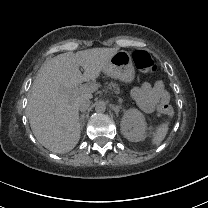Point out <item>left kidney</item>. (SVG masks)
I'll list each match as a JSON object with an SVG mask.
<instances>
[{
    "mask_svg": "<svg viewBox=\"0 0 208 208\" xmlns=\"http://www.w3.org/2000/svg\"><path fill=\"white\" fill-rule=\"evenodd\" d=\"M121 132L126 139L132 142L140 141L145 136L144 117L136 109L124 111L121 121Z\"/></svg>",
    "mask_w": 208,
    "mask_h": 208,
    "instance_id": "5707ae66",
    "label": "left kidney"
}]
</instances>
